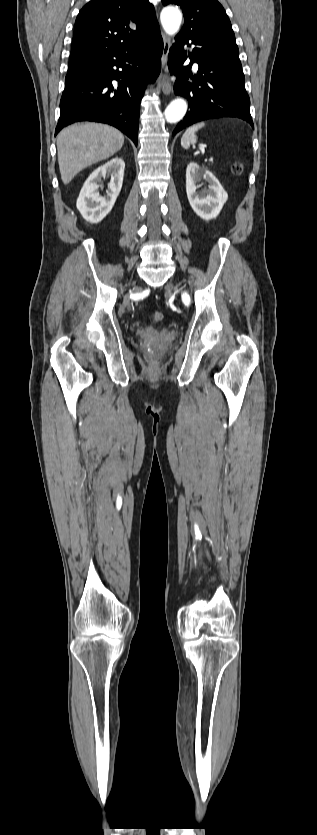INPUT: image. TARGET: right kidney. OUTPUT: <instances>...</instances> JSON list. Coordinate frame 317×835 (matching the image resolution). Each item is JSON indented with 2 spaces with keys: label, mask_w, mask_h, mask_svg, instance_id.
<instances>
[{
  "label": "right kidney",
  "mask_w": 317,
  "mask_h": 835,
  "mask_svg": "<svg viewBox=\"0 0 317 835\" xmlns=\"http://www.w3.org/2000/svg\"><path fill=\"white\" fill-rule=\"evenodd\" d=\"M125 162L121 158H113L96 168L85 181L76 202L77 209L83 218L90 223H98L111 211L121 191ZM110 176L107 195L99 194V181L102 177Z\"/></svg>",
  "instance_id": "right-kidney-1"
}]
</instances>
